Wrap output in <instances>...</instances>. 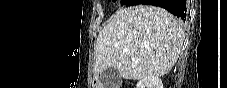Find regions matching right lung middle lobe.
Listing matches in <instances>:
<instances>
[{
	"label": "right lung middle lobe",
	"mask_w": 227,
	"mask_h": 88,
	"mask_svg": "<svg viewBox=\"0 0 227 88\" xmlns=\"http://www.w3.org/2000/svg\"><path fill=\"white\" fill-rule=\"evenodd\" d=\"M140 1L141 0H123V4H126V5H137V4H139Z\"/></svg>",
	"instance_id": "1"
}]
</instances>
